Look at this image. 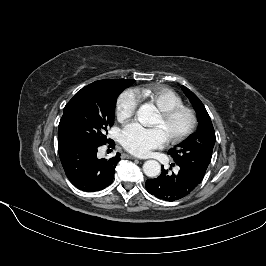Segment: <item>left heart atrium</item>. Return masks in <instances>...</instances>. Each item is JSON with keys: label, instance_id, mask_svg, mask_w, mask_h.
Instances as JSON below:
<instances>
[{"label": "left heart atrium", "instance_id": "1", "mask_svg": "<svg viewBox=\"0 0 266 266\" xmlns=\"http://www.w3.org/2000/svg\"><path fill=\"white\" fill-rule=\"evenodd\" d=\"M168 140L160 127L146 128L138 123H131L123 128L120 142L130 153L145 157L152 150L163 147Z\"/></svg>", "mask_w": 266, "mask_h": 266}]
</instances>
